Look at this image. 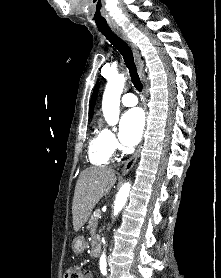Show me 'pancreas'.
Wrapping results in <instances>:
<instances>
[{
	"label": "pancreas",
	"mask_w": 221,
	"mask_h": 278,
	"mask_svg": "<svg viewBox=\"0 0 221 278\" xmlns=\"http://www.w3.org/2000/svg\"><path fill=\"white\" fill-rule=\"evenodd\" d=\"M99 218L98 215H96V211L91 215L90 220H89V226L90 227H95L96 226V221Z\"/></svg>",
	"instance_id": "cf45deb5"
}]
</instances>
